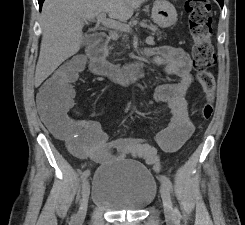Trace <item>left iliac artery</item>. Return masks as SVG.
I'll return each mask as SVG.
<instances>
[{
  "instance_id": "44dca946",
  "label": "left iliac artery",
  "mask_w": 245,
  "mask_h": 225,
  "mask_svg": "<svg viewBox=\"0 0 245 225\" xmlns=\"http://www.w3.org/2000/svg\"><path fill=\"white\" fill-rule=\"evenodd\" d=\"M159 180L162 182V184H164L169 190L173 189L172 186V182L170 181V179L166 176H161L159 177ZM174 212L176 215H180L179 210L177 207L174 208Z\"/></svg>"
}]
</instances>
